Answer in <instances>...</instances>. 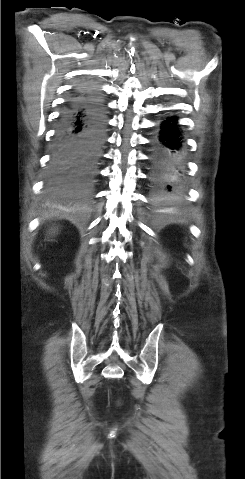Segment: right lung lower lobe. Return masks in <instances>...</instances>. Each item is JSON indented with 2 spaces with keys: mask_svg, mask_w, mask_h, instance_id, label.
Wrapping results in <instances>:
<instances>
[{
  "mask_svg": "<svg viewBox=\"0 0 245 479\" xmlns=\"http://www.w3.org/2000/svg\"><path fill=\"white\" fill-rule=\"evenodd\" d=\"M87 88L80 85L61 112L45 184L48 195L78 207L91 197L107 123L104 101L84 97Z\"/></svg>",
  "mask_w": 245,
  "mask_h": 479,
  "instance_id": "obj_1",
  "label": "right lung lower lobe"
}]
</instances>
